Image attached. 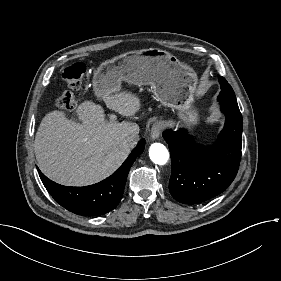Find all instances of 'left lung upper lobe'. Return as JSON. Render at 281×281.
<instances>
[{"instance_id":"left-lung-upper-lobe-1","label":"left lung upper lobe","mask_w":281,"mask_h":281,"mask_svg":"<svg viewBox=\"0 0 281 281\" xmlns=\"http://www.w3.org/2000/svg\"><path fill=\"white\" fill-rule=\"evenodd\" d=\"M218 79L221 85V92L220 95L218 96V99L225 98V99L236 100L235 93L232 87L226 81V79L221 76H219Z\"/></svg>"}]
</instances>
